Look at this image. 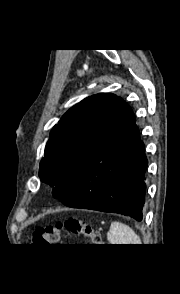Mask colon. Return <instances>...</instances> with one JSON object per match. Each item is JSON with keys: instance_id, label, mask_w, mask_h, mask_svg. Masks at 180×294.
Here are the masks:
<instances>
[{"instance_id": "1", "label": "colon", "mask_w": 180, "mask_h": 294, "mask_svg": "<svg viewBox=\"0 0 180 294\" xmlns=\"http://www.w3.org/2000/svg\"><path fill=\"white\" fill-rule=\"evenodd\" d=\"M63 229L72 234L90 238L94 242L98 241L97 233L92 225L74 217H69L54 225L36 229L33 234V240L37 244L54 246L59 242Z\"/></svg>"}]
</instances>
